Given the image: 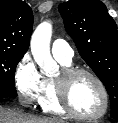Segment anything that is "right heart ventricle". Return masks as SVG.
Returning <instances> with one entry per match:
<instances>
[{
  "label": "right heart ventricle",
  "instance_id": "1",
  "mask_svg": "<svg viewBox=\"0 0 118 123\" xmlns=\"http://www.w3.org/2000/svg\"><path fill=\"white\" fill-rule=\"evenodd\" d=\"M59 62L63 65V67H71V62ZM44 81V91L41 98L38 101L41 109L46 113L63 115L65 111L60 107L58 103L53 80L47 78L44 79Z\"/></svg>",
  "mask_w": 118,
  "mask_h": 123
}]
</instances>
